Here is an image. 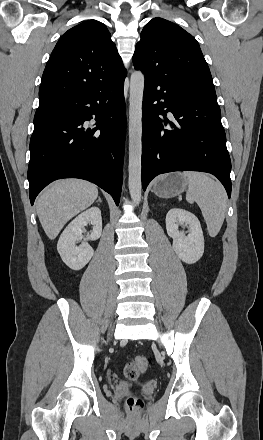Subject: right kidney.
Wrapping results in <instances>:
<instances>
[{"label": "right kidney", "mask_w": 263, "mask_h": 440, "mask_svg": "<svg viewBox=\"0 0 263 440\" xmlns=\"http://www.w3.org/2000/svg\"><path fill=\"white\" fill-rule=\"evenodd\" d=\"M88 223L93 226V230L84 242L77 246L76 242L83 237L82 229ZM101 233L102 217L98 207H91L78 215L64 229L57 244V250L63 262L73 270L82 269L94 254V250L87 240H97Z\"/></svg>", "instance_id": "right-kidney-1"}]
</instances>
